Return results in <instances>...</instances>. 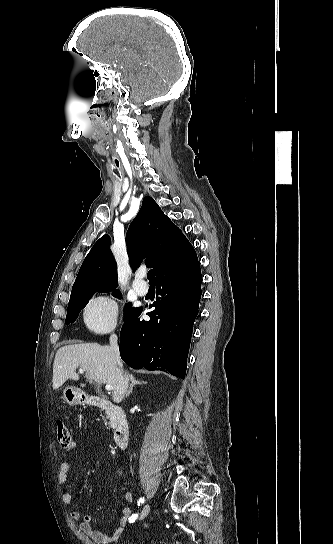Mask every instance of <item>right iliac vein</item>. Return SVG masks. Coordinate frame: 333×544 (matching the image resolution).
I'll use <instances>...</instances> for the list:
<instances>
[{
    "instance_id": "right-iliac-vein-1",
    "label": "right iliac vein",
    "mask_w": 333,
    "mask_h": 544,
    "mask_svg": "<svg viewBox=\"0 0 333 544\" xmlns=\"http://www.w3.org/2000/svg\"><path fill=\"white\" fill-rule=\"evenodd\" d=\"M149 511H150V505L146 504L142 509L140 520H143L149 514Z\"/></svg>"
}]
</instances>
